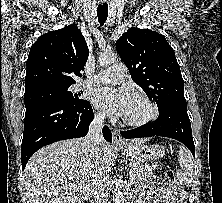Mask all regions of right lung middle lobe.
Returning a JSON list of instances; mask_svg holds the SVG:
<instances>
[{
	"label": "right lung middle lobe",
	"mask_w": 222,
	"mask_h": 203,
	"mask_svg": "<svg viewBox=\"0 0 222 203\" xmlns=\"http://www.w3.org/2000/svg\"><path fill=\"white\" fill-rule=\"evenodd\" d=\"M71 86L48 87L37 89L24 94L25 107L38 102H60L64 104H79L85 100L79 99L80 93L73 94L70 90Z\"/></svg>",
	"instance_id": "obj_1"
}]
</instances>
